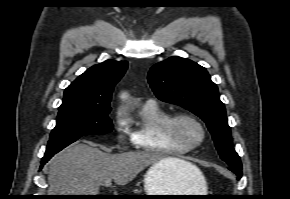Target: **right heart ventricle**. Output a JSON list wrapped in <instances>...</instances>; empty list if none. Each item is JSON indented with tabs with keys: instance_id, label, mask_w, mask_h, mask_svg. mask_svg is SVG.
I'll list each match as a JSON object with an SVG mask.
<instances>
[{
	"instance_id": "1",
	"label": "right heart ventricle",
	"mask_w": 290,
	"mask_h": 199,
	"mask_svg": "<svg viewBox=\"0 0 290 199\" xmlns=\"http://www.w3.org/2000/svg\"><path fill=\"white\" fill-rule=\"evenodd\" d=\"M171 115L157 103H145L133 118L127 119L131 142L136 149L161 156H181L187 149L174 144L165 133L164 126Z\"/></svg>"
}]
</instances>
